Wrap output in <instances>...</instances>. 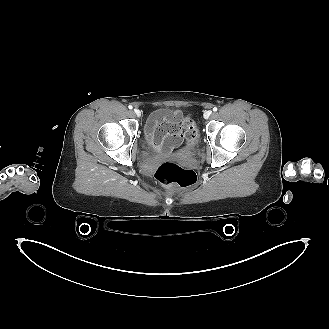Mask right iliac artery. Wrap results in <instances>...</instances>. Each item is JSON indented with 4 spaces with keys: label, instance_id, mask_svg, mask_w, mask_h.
<instances>
[{
    "label": "right iliac artery",
    "instance_id": "82829eb1",
    "mask_svg": "<svg viewBox=\"0 0 329 329\" xmlns=\"http://www.w3.org/2000/svg\"><path fill=\"white\" fill-rule=\"evenodd\" d=\"M128 108H129V109H132L133 107H132V106H129Z\"/></svg>",
    "mask_w": 329,
    "mask_h": 329
}]
</instances>
